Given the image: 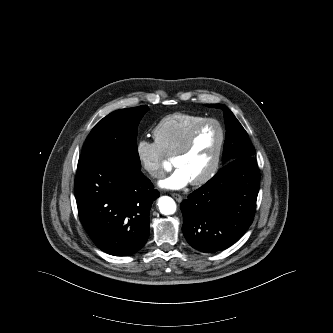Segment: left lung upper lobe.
<instances>
[{"mask_svg":"<svg viewBox=\"0 0 333 333\" xmlns=\"http://www.w3.org/2000/svg\"><path fill=\"white\" fill-rule=\"evenodd\" d=\"M208 107L220 108L224 112L226 125L223 161L228 163L241 157H252L255 150L248 138L247 132L234 114L222 104H207Z\"/></svg>","mask_w":333,"mask_h":333,"instance_id":"left-lung-upper-lobe-1","label":"left lung upper lobe"}]
</instances>
